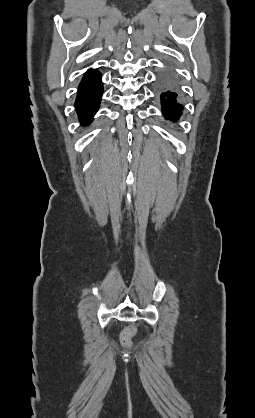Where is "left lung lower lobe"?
Returning <instances> with one entry per match:
<instances>
[{
	"label": "left lung lower lobe",
	"mask_w": 255,
	"mask_h": 418,
	"mask_svg": "<svg viewBox=\"0 0 255 418\" xmlns=\"http://www.w3.org/2000/svg\"><path fill=\"white\" fill-rule=\"evenodd\" d=\"M161 86L163 90L160 95L162 112L166 119L176 121L182 114L183 106L177 93L176 81L171 73H166L163 76Z\"/></svg>",
	"instance_id": "1"
}]
</instances>
